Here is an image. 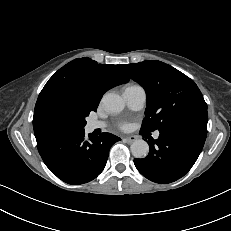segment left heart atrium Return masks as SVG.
<instances>
[{"label": "left heart atrium", "instance_id": "left-heart-atrium-1", "mask_svg": "<svg viewBox=\"0 0 231 231\" xmlns=\"http://www.w3.org/2000/svg\"><path fill=\"white\" fill-rule=\"evenodd\" d=\"M119 126H120V128L124 129V128H126L128 126V124L126 122H120Z\"/></svg>", "mask_w": 231, "mask_h": 231}]
</instances>
